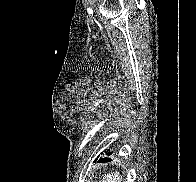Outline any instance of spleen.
Wrapping results in <instances>:
<instances>
[{
    "label": "spleen",
    "mask_w": 196,
    "mask_h": 182,
    "mask_svg": "<svg viewBox=\"0 0 196 182\" xmlns=\"http://www.w3.org/2000/svg\"><path fill=\"white\" fill-rule=\"evenodd\" d=\"M100 182H122V177L118 172L105 175L104 179Z\"/></svg>",
    "instance_id": "3e777b00"
}]
</instances>
